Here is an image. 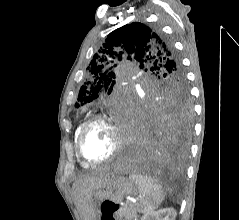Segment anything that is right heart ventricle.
Instances as JSON below:
<instances>
[{
	"mask_svg": "<svg viewBox=\"0 0 239 220\" xmlns=\"http://www.w3.org/2000/svg\"><path fill=\"white\" fill-rule=\"evenodd\" d=\"M82 126H83V123H79V125L77 126V128L75 130L74 141H75L76 146H77L78 135H79V132H80ZM81 165L83 167H88L89 166V164L85 163L84 161H81Z\"/></svg>",
	"mask_w": 239,
	"mask_h": 220,
	"instance_id": "e07e8e85",
	"label": "right heart ventricle"
}]
</instances>
